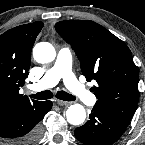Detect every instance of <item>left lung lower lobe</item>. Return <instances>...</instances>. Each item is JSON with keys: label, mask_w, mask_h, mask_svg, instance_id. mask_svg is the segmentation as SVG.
<instances>
[{"label": "left lung lower lobe", "mask_w": 145, "mask_h": 145, "mask_svg": "<svg viewBox=\"0 0 145 145\" xmlns=\"http://www.w3.org/2000/svg\"><path fill=\"white\" fill-rule=\"evenodd\" d=\"M128 122L94 107L89 121L75 129L76 138L85 145H111L125 132Z\"/></svg>", "instance_id": "left-lung-lower-lobe-1"}]
</instances>
